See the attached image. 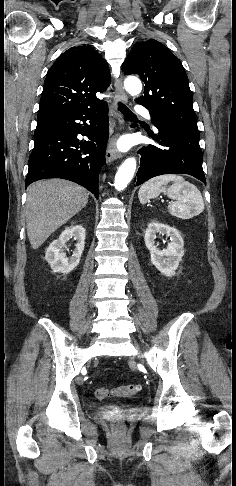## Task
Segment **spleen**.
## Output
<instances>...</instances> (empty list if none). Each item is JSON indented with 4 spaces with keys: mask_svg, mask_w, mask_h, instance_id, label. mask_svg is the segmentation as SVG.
Masks as SVG:
<instances>
[{
    "mask_svg": "<svg viewBox=\"0 0 236 486\" xmlns=\"http://www.w3.org/2000/svg\"><path fill=\"white\" fill-rule=\"evenodd\" d=\"M172 182V185L168 184ZM164 193L175 200L168 205L169 212L182 219H190L204 210V201L197 187L182 176L165 174L145 182L139 189L138 197L142 204Z\"/></svg>",
    "mask_w": 236,
    "mask_h": 486,
    "instance_id": "1",
    "label": "spleen"
}]
</instances>
